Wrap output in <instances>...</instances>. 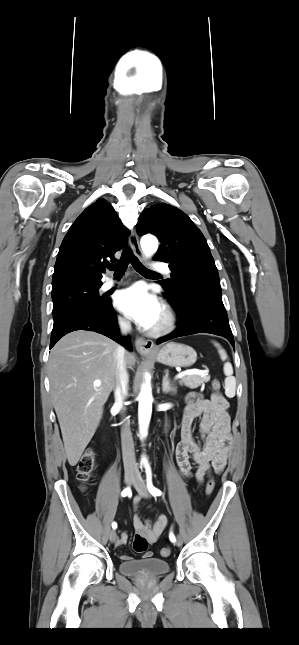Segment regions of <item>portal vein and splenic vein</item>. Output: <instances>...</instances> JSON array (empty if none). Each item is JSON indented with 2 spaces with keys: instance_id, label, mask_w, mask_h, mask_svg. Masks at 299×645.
Returning <instances> with one entry per match:
<instances>
[{
  "instance_id": "1",
  "label": "portal vein and splenic vein",
  "mask_w": 299,
  "mask_h": 645,
  "mask_svg": "<svg viewBox=\"0 0 299 645\" xmlns=\"http://www.w3.org/2000/svg\"><path fill=\"white\" fill-rule=\"evenodd\" d=\"M194 374L203 375L204 372L201 371V370H198V369L187 370V371L179 373L175 378L176 379H181L184 376L194 375ZM93 384H94L95 387H99L101 385V382L99 380H95Z\"/></svg>"
}]
</instances>
